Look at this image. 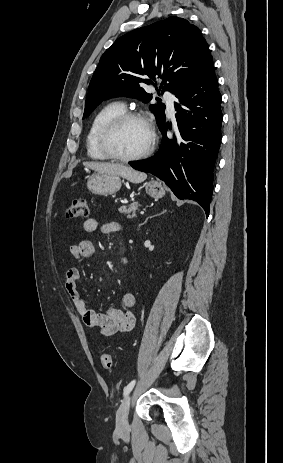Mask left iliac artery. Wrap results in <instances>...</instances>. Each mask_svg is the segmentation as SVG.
Instances as JSON below:
<instances>
[{
    "label": "left iliac artery",
    "instance_id": "44dca946",
    "mask_svg": "<svg viewBox=\"0 0 283 463\" xmlns=\"http://www.w3.org/2000/svg\"><path fill=\"white\" fill-rule=\"evenodd\" d=\"M136 380H132L125 388H124V396H126L134 387Z\"/></svg>",
    "mask_w": 283,
    "mask_h": 463
}]
</instances>
